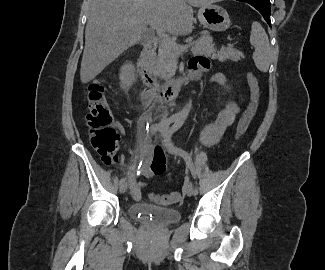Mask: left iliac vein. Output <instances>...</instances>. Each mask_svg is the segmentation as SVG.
Listing matches in <instances>:
<instances>
[{
	"mask_svg": "<svg viewBox=\"0 0 325 270\" xmlns=\"http://www.w3.org/2000/svg\"><path fill=\"white\" fill-rule=\"evenodd\" d=\"M161 135H162V138H163V140H162V144H163V146L165 147V149H166L168 152H170L171 154H175V153L170 149V147H169V141H168V139H167V135H168L167 127L163 128V129L161 130ZM186 193H187L188 196H192V195H194V187H193V184H192V183H189V184L187 185Z\"/></svg>",
	"mask_w": 325,
	"mask_h": 270,
	"instance_id": "1",
	"label": "left iliac vein"
}]
</instances>
